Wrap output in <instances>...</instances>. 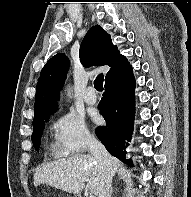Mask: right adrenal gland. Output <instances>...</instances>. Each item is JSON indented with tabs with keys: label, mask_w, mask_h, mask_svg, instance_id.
Masks as SVG:
<instances>
[{
	"label": "right adrenal gland",
	"mask_w": 191,
	"mask_h": 197,
	"mask_svg": "<svg viewBox=\"0 0 191 197\" xmlns=\"http://www.w3.org/2000/svg\"><path fill=\"white\" fill-rule=\"evenodd\" d=\"M112 192H113V189L111 188V191H110V195H109V197H111Z\"/></svg>",
	"instance_id": "2a0ac1e0"
}]
</instances>
